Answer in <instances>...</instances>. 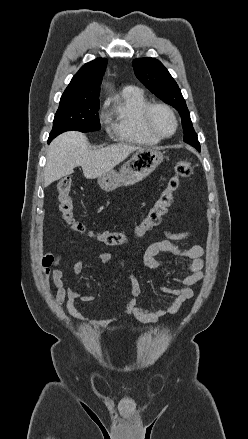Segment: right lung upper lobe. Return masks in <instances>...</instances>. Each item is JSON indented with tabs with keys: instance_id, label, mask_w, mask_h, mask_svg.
<instances>
[{
	"instance_id": "1",
	"label": "right lung upper lobe",
	"mask_w": 248,
	"mask_h": 439,
	"mask_svg": "<svg viewBox=\"0 0 248 439\" xmlns=\"http://www.w3.org/2000/svg\"><path fill=\"white\" fill-rule=\"evenodd\" d=\"M106 64V59L97 58L82 66L72 78L61 99H98Z\"/></svg>"
}]
</instances>
